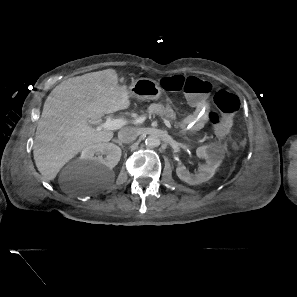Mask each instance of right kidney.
Segmentation results:
<instances>
[{
  "mask_svg": "<svg viewBox=\"0 0 297 297\" xmlns=\"http://www.w3.org/2000/svg\"><path fill=\"white\" fill-rule=\"evenodd\" d=\"M104 156V157H103ZM121 157V149L113 143H98L82 150L80 159L89 161L95 166L115 167Z\"/></svg>",
  "mask_w": 297,
  "mask_h": 297,
  "instance_id": "right-kidney-1",
  "label": "right kidney"
}]
</instances>
